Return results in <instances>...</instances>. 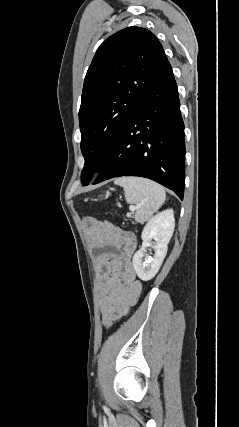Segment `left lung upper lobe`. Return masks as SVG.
<instances>
[{
  "mask_svg": "<svg viewBox=\"0 0 239 427\" xmlns=\"http://www.w3.org/2000/svg\"><path fill=\"white\" fill-rule=\"evenodd\" d=\"M171 70L162 45L145 28H125L100 45L85 76L79 110L83 186L105 166L139 103Z\"/></svg>",
  "mask_w": 239,
  "mask_h": 427,
  "instance_id": "left-lung-upper-lobe-1",
  "label": "left lung upper lobe"
}]
</instances>
